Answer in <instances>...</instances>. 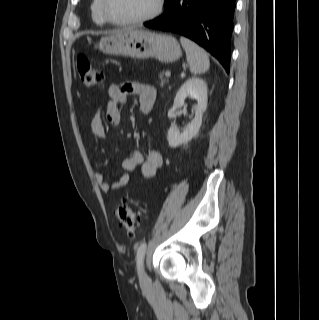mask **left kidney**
Listing matches in <instances>:
<instances>
[{"label":"left kidney","mask_w":319,"mask_h":320,"mask_svg":"<svg viewBox=\"0 0 319 320\" xmlns=\"http://www.w3.org/2000/svg\"><path fill=\"white\" fill-rule=\"evenodd\" d=\"M207 84L201 78H190L186 80L178 90L172 108L168 111V118H175L176 109L184 105L187 96L197 100V105L194 110L195 117L190 125L180 132L176 127H170L167 134L168 144L172 148L186 144L192 138L197 136L202 125L203 113L207 108Z\"/></svg>","instance_id":"left-kidney-1"}]
</instances>
